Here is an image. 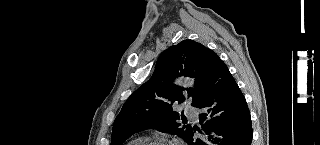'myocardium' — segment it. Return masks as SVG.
Instances as JSON below:
<instances>
[{
    "label": "myocardium",
    "mask_w": 320,
    "mask_h": 145,
    "mask_svg": "<svg viewBox=\"0 0 320 145\" xmlns=\"http://www.w3.org/2000/svg\"><path fill=\"white\" fill-rule=\"evenodd\" d=\"M141 145H169V144L163 140H151V141H145Z\"/></svg>",
    "instance_id": "1"
}]
</instances>
